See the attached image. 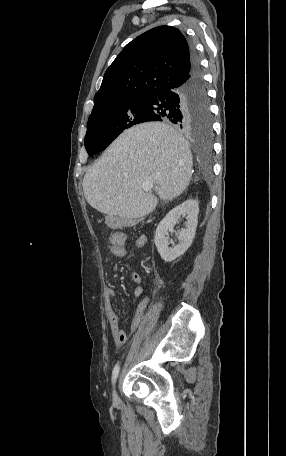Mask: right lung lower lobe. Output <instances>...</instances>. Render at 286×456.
I'll return each mask as SVG.
<instances>
[{
    "label": "right lung lower lobe",
    "mask_w": 286,
    "mask_h": 456,
    "mask_svg": "<svg viewBox=\"0 0 286 456\" xmlns=\"http://www.w3.org/2000/svg\"><path fill=\"white\" fill-rule=\"evenodd\" d=\"M190 70L184 82L176 83L144 98L149 112L147 121H164L189 129L210 115L207 91L199 59L192 46Z\"/></svg>",
    "instance_id": "1"
}]
</instances>
